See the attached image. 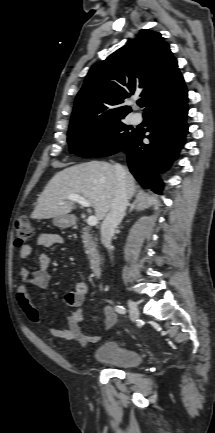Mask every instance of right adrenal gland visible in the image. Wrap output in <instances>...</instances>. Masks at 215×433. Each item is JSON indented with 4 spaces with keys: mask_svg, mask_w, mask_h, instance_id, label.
<instances>
[{
    "mask_svg": "<svg viewBox=\"0 0 215 433\" xmlns=\"http://www.w3.org/2000/svg\"><path fill=\"white\" fill-rule=\"evenodd\" d=\"M128 206H130V210H129V212H132V210L134 209V204H130V203H128Z\"/></svg>",
    "mask_w": 215,
    "mask_h": 433,
    "instance_id": "2a0ac1e0",
    "label": "right adrenal gland"
}]
</instances>
